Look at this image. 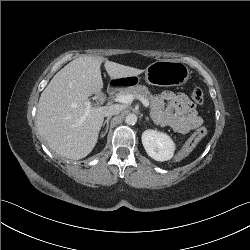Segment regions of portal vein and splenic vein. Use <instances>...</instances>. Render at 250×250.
Listing matches in <instances>:
<instances>
[{
	"label": "portal vein and splenic vein",
	"instance_id": "portal-vein-and-splenic-vein-1",
	"mask_svg": "<svg viewBox=\"0 0 250 250\" xmlns=\"http://www.w3.org/2000/svg\"><path fill=\"white\" fill-rule=\"evenodd\" d=\"M137 98L143 103V105L146 108L149 107V101L146 98H144L142 96H138ZM134 99H135V96L130 95V94H127V95H117L116 98H115V101L119 102V103L128 104V103L133 102ZM85 104H86L85 115H88L89 112H90V109H91V103L90 102H86Z\"/></svg>",
	"mask_w": 250,
	"mask_h": 250
}]
</instances>
